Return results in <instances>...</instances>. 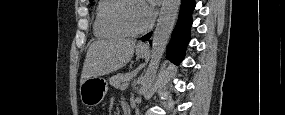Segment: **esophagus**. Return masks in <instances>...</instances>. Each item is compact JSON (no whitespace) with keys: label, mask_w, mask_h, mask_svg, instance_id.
Returning a JSON list of instances; mask_svg holds the SVG:
<instances>
[{"label":"esophagus","mask_w":285,"mask_h":115,"mask_svg":"<svg viewBox=\"0 0 285 115\" xmlns=\"http://www.w3.org/2000/svg\"><path fill=\"white\" fill-rule=\"evenodd\" d=\"M139 47L146 48V45L145 44H139Z\"/></svg>","instance_id":"obj_1"}]
</instances>
